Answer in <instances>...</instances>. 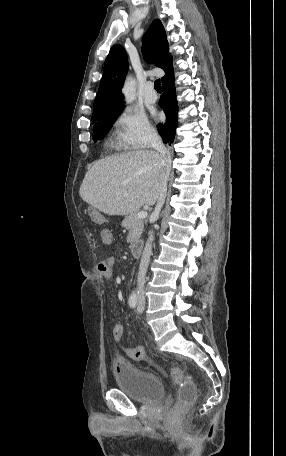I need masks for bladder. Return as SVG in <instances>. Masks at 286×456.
<instances>
[{
  "instance_id": "obj_1",
  "label": "bladder",
  "mask_w": 286,
  "mask_h": 456,
  "mask_svg": "<svg viewBox=\"0 0 286 456\" xmlns=\"http://www.w3.org/2000/svg\"><path fill=\"white\" fill-rule=\"evenodd\" d=\"M114 375L116 386L137 402H152L164 396L165 389L156 376L142 372L130 363L116 362Z\"/></svg>"
}]
</instances>
